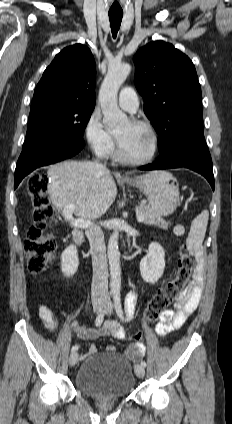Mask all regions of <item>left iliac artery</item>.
<instances>
[{"label": "left iliac artery", "instance_id": "left-iliac-artery-1", "mask_svg": "<svg viewBox=\"0 0 232 424\" xmlns=\"http://www.w3.org/2000/svg\"><path fill=\"white\" fill-rule=\"evenodd\" d=\"M114 307H115V311H116L117 315L119 316V318L122 321H124V314H123V310H122V306H121L120 293L114 294ZM134 310H135L134 306L129 305L128 307H126L127 316H128L129 319H131L134 316ZM141 365L143 367H146V362L141 361Z\"/></svg>", "mask_w": 232, "mask_h": 424}]
</instances>
